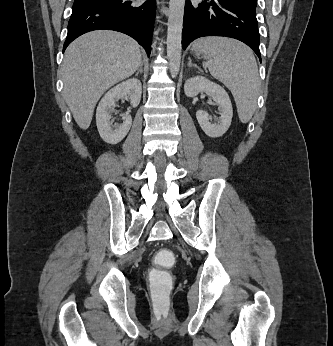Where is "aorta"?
I'll use <instances>...</instances> for the list:
<instances>
[{"label":"aorta","instance_id":"obj_1","mask_svg":"<svg viewBox=\"0 0 333 346\" xmlns=\"http://www.w3.org/2000/svg\"><path fill=\"white\" fill-rule=\"evenodd\" d=\"M184 5L185 0L169 2L167 58L172 76H176L180 69Z\"/></svg>","mask_w":333,"mask_h":346}]
</instances>
